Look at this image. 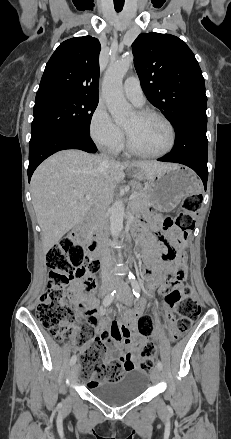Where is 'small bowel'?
I'll use <instances>...</instances> for the list:
<instances>
[{"mask_svg":"<svg viewBox=\"0 0 231 439\" xmlns=\"http://www.w3.org/2000/svg\"><path fill=\"white\" fill-rule=\"evenodd\" d=\"M168 232L171 236H174L177 230L172 228ZM172 253L173 251L168 241L160 242L152 237L147 238L144 259L145 263L149 265V270L145 271L149 292L158 288L160 293H165L171 288L178 286V284L172 281L165 282L162 276V271L164 273H172L184 268V254L180 253L176 261L173 262L172 258H170ZM161 258H163V264H161ZM89 292L83 293L82 289L75 292L73 304L77 307L81 304L87 306L85 316L90 324L103 329L102 338L109 346L110 357L118 358L125 365V370L128 369L126 366L128 362H132L133 368H136V356L141 350L143 351L146 339L139 338L133 332V329L136 321L142 315L144 301H141L133 311L123 312L124 323H119L116 320L108 323L102 319V313L97 310L96 302L88 297ZM85 348V346H78L77 349L82 353ZM108 361L109 358L105 360V362Z\"/></svg>","mask_w":231,"mask_h":439,"instance_id":"small-bowel-1","label":"small bowel"}]
</instances>
